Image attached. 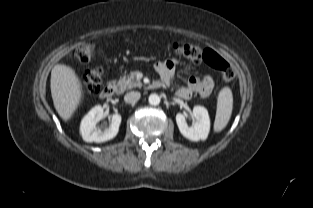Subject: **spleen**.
<instances>
[{"label":"spleen","mask_w":313,"mask_h":208,"mask_svg":"<svg viewBox=\"0 0 313 208\" xmlns=\"http://www.w3.org/2000/svg\"><path fill=\"white\" fill-rule=\"evenodd\" d=\"M233 108V96L230 88L221 89L217 99V110L214 121V131L221 132L228 124Z\"/></svg>","instance_id":"3e777b00"}]
</instances>
